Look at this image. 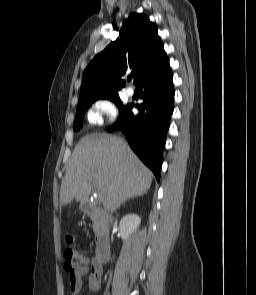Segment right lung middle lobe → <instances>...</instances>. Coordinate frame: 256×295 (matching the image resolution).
<instances>
[{"mask_svg":"<svg viewBox=\"0 0 256 295\" xmlns=\"http://www.w3.org/2000/svg\"><path fill=\"white\" fill-rule=\"evenodd\" d=\"M98 99H108L111 100L112 102H114L116 104V106L119 108V113L121 114L127 107L122 105V102L119 98V95H115V96H109V97H104V98H82L79 99V103H78V108H77V112H76V118L73 124V130L74 131H78L80 130V128L82 127V121H83V116L84 113L86 112V110L90 107V105L95 102Z\"/></svg>","mask_w":256,"mask_h":295,"instance_id":"1","label":"right lung middle lobe"}]
</instances>
